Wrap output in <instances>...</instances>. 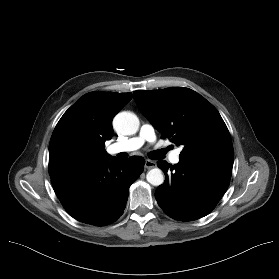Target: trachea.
Returning <instances> with one entry per match:
<instances>
[{
	"instance_id": "3493384b",
	"label": "trachea",
	"mask_w": 279,
	"mask_h": 279,
	"mask_svg": "<svg viewBox=\"0 0 279 279\" xmlns=\"http://www.w3.org/2000/svg\"><path fill=\"white\" fill-rule=\"evenodd\" d=\"M167 149L157 150L150 154L152 158H160L166 153Z\"/></svg>"
}]
</instances>
